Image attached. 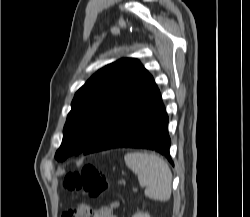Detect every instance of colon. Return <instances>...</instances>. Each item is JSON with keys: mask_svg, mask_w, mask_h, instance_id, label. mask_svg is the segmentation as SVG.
I'll use <instances>...</instances> for the list:
<instances>
[{"mask_svg": "<svg viewBox=\"0 0 250 217\" xmlns=\"http://www.w3.org/2000/svg\"><path fill=\"white\" fill-rule=\"evenodd\" d=\"M64 186L71 191H82L93 198L99 197L109 189L106 176L93 165H85L78 172L68 173L64 179ZM98 210L91 205H80L77 208L65 211L62 217H70L73 212L79 213L81 217H89Z\"/></svg>", "mask_w": 250, "mask_h": 217, "instance_id": "1", "label": "colon"}]
</instances>
